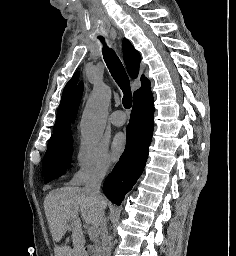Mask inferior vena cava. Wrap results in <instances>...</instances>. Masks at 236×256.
Wrapping results in <instances>:
<instances>
[{"instance_id": "1", "label": "inferior vena cava", "mask_w": 236, "mask_h": 256, "mask_svg": "<svg viewBox=\"0 0 236 256\" xmlns=\"http://www.w3.org/2000/svg\"><path fill=\"white\" fill-rule=\"evenodd\" d=\"M106 168L104 166H96L89 172V178L83 188V192L88 194L89 198L95 200L100 212L103 210L105 204L104 198L100 196V186L103 178H105ZM100 236L102 240L101 256H111L110 238L108 236V230L106 226V220L104 218L103 224L100 226Z\"/></svg>"}]
</instances>
